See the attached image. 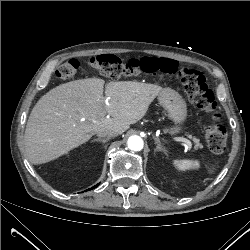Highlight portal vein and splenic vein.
I'll list each match as a JSON object with an SVG mask.
<instances>
[{"label": "portal vein and splenic vein", "mask_w": 250, "mask_h": 250, "mask_svg": "<svg viewBox=\"0 0 250 250\" xmlns=\"http://www.w3.org/2000/svg\"><path fill=\"white\" fill-rule=\"evenodd\" d=\"M174 140L179 142H184L189 146L191 145V141L184 137H175Z\"/></svg>", "instance_id": "portal-vein-and-splenic-vein-1"}]
</instances>
